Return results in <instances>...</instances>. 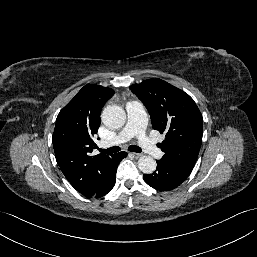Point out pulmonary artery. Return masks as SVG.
Here are the masks:
<instances>
[{
  "instance_id": "1",
  "label": "pulmonary artery",
  "mask_w": 257,
  "mask_h": 257,
  "mask_svg": "<svg viewBox=\"0 0 257 257\" xmlns=\"http://www.w3.org/2000/svg\"><path fill=\"white\" fill-rule=\"evenodd\" d=\"M127 123L122 131L113 141L102 142V147H108L114 144L124 143L133 137L138 139L140 146L149 155L154 158H160L162 151L155 142L146 135L147 117L143 104L138 100H132L126 104Z\"/></svg>"
}]
</instances>
